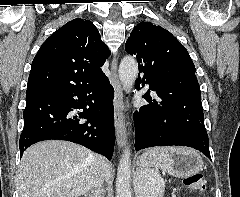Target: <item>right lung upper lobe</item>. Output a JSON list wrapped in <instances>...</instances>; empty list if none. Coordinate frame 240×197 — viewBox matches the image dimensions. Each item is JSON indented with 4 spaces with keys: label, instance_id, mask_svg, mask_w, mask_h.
I'll return each mask as SVG.
<instances>
[{
    "label": "right lung upper lobe",
    "instance_id": "cb5924a9",
    "mask_svg": "<svg viewBox=\"0 0 240 197\" xmlns=\"http://www.w3.org/2000/svg\"><path fill=\"white\" fill-rule=\"evenodd\" d=\"M110 55L95 25L69 21L42 44L31 66L26 95L56 86H83L105 76L101 66Z\"/></svg>",
    "mask_w": 240,
    "mask_h": 197
}]
</instances>
